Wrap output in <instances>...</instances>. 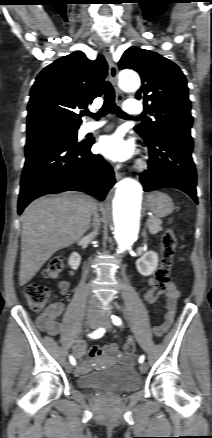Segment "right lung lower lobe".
Returning <instances> with one entry per match:
<instances>
[{"label": "right lung lower lobe", "mask_w": 212, "mask_h": 438, "mask_svg": "<svg viewBox=\"0 0 212 438\" xmlns=\"http://www.w3.org/2000/svg\"><path fill=\"white\" fill-rule=\"evenodd\" d=\"M94 140L77 143L59 131L27 137L18 214L34 199L66 190L85 191L104 200L115 184L112 167L90 152Z\"/></svg>", "instance_id": "98d812e1"}]
</instances>
